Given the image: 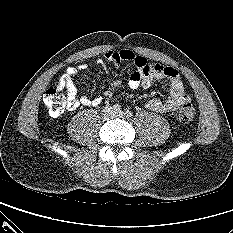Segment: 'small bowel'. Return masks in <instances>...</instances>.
<instances>
[{"mask_svg": "<svg viewBox=\"0 0 233 233\" xmlns=\"http://www.w3.org/2000/svg\"><path fill=\"white\" fill-rule=\"evenodd\" d=\"M107 61L119 65L122 62H131L135 70L128 78V86L131 89L148 88L156 83L166 80L170 84V93L167 99L160 100L157 98L150 99L146 102L145 107L153 112L166 113L174 111L184 103L190 101L186 94L183 82L178 71L173 67L163 66L158 63L149 62L145 57L137 55L131 50L120 49L110 50L104 54ZM87 65L81 64L77 67H69L66 73L59 79V86L67 90L70 97L68 108L76 109L80 105L98 106L102 102L101 96L88 97L83 95L76 98L78 89L74 77L80 72L86 70Z\"/></svg>", "mask_w": 233, "mask_h": 233, "instance_id": "c3829d8e", "label": "small bowel"}]
</instances>
